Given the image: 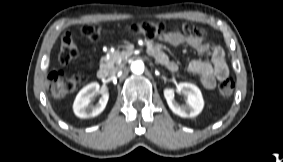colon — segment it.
<instances>
[{"label":"colon","mask_w":283,"mask_h":162,"mask_svg":"<svg viewBox=\"0 0 283 162\" xmlns=\"http://www.w3.org/2000/svg\"><path fill=\"white\" fill-rule=\"evenodd\" d=\"M167 24L163 22H142L132 24L130 30L133 33L141 34L152 39L164 34ZM102 27L98 23L85 24L82 27V34L90 41H98L101 37ZM78 56L76 44L69 32L65 33L61 39L59 51V62L63 65L69 64ZM48 82L52 95L55 98H63L72 93L80 82V76L67 74L62 70L52 71L48 76ZM235 81L233 78H226L219 83L218 91L220 95L229 99L234 92Z\"/></svg>","instance_id":"obj_1"}]
</instances>
